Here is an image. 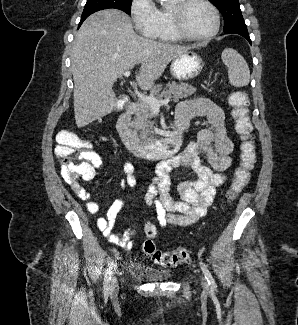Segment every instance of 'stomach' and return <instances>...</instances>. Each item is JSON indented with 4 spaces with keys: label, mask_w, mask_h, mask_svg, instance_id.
Here are the masks:
<instances>
[{
    "label": "stomach",
    "mask_w": 298,
    "mask_h": 325,
    "mask_svg": "<svg viewBox=\"0 0 298 325\" xmlns=\"http://www.w3.org/2000/svg\"><path fill=\"white\" fill-rule=\"evenodd\" d=\"M205 62L197 50H187L173 58L169 70L176 80H190L195 78L203 70Z\"/></svg>",
    "instance_id": "1"
}]
</instances>
